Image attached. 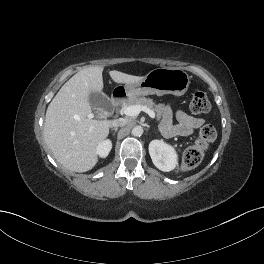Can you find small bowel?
<instances>
[{
    "label": "small bowel",
    "instance_id": "obj_1",
    "mask_svg": "<svg viewBox=\"0 0 264 264\" xmlns=\"http://www.w3.org/2000/svg\"><path fill=\"white\" fill-rule=\"evenodd\" d=\"M174 119L176 123H173ZM203 123L202 118L191 116L181 110L173 111L168 104L161 106V130L166 137L190 135Z\"/></svg>",
    "mask_w": 264,
    "mask_h": 264
}]
</instances>
